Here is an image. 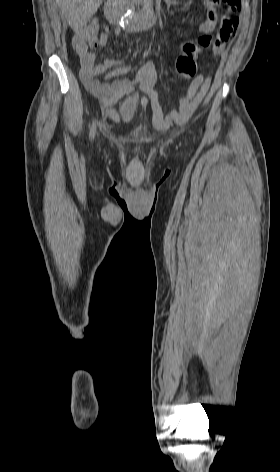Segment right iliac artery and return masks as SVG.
Returning <instances> with one entry per match:
<instances>
[{
    "label": "right iliac artery",
    "instance_id": "82829eb1",
    "mask_svg": "<svg viewBox=\"0 0 280 472\" xmlns=\"http://www.w3.org/2000/svg\"><path fill=\"white\" fill-rule=\"evenodd\" d=\"M95 131H96V125L93 123V124H92V128H91V131H90V137H91V138L94 137Z\"/></svg>",
    "mask_w": 280,
    "mask_h": 472
}]
</instances>
